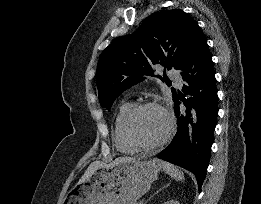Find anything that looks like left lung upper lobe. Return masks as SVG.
Returning <instances> with one entry per match:
<instances>
[{"instance_id": "obj_1", "label": "left lung upper lobe", "mask_w": 261, "mask_h": 204, "mask_svg": "<svg viewBox=\"0 0 261 204\" xmlns=\"http://www.w3.org/2000/svg\"><path fill=\"white\" fill-rule=\"evenodd\" d=\"M199 30L183 10H163L149 16L134 33L111 43L97 66L101 106L110 109L123 91L144 79L143 75L154 76L155 65L180 70ZM172 93L174 99V88Z\"/></svg>"}]
</instances>
